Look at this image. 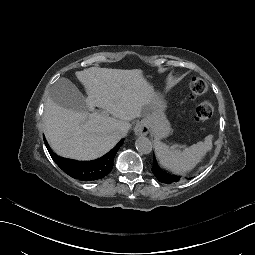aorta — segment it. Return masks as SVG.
I'll return each instance as SVG.
<instances>
[{"instance_id": "1", "label": "aorta", "mask_w": 255, "mask_h": 255, "mask_svg": "<svg viewBox=\"0 0 255 255\" xmlns=\"http://www.w3.org/2000/svg\"><path fill=\"white\" fill-rule=\"evenodd\" d=\"M136 149L141 154H149L152 151V142L144 136L138 137L135 141Z\"/></svg>"}]
</instances>
